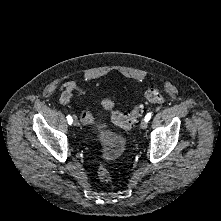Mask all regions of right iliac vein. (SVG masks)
<instances>
[{"mask_svg": "<svg viewBox=\"0 0 221 221\" xmlns=\"http://www.w3.org/2000/svg\"><path fill=\"white\" fill-rule=\"evenodd\" d=\"M73 124H74L75 126L78 125V121H77V118H76V117H73Z\"/></svg>", "mask_w": 221, "mask_h": 221, "instance_id": "63e3f726", "label": "right iliac vein"}]
</instances>
